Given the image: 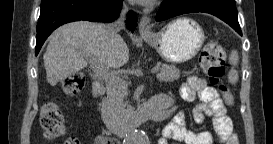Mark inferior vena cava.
I'll list each match as a JSON object with an SVG mask.
<instances>
[{
    "mask_svg": "<svg viewBox=\"0 0 273 144\" xmlns=\"http://www.w3.org/2000/svg\"><path fill=\"white\" fill-rule=\"evenodd\" d=\"M128 11L127 6L124 4L123 9L121 11L120 17L118 18L117 21L114 23H111L109 25V32L112 36H117L118 32L121 30V28L124 26V20H125V15Z\"/></svg>",
    "mask_w": 273,
    "mask_h": 144,
    "instance_id": "602c4592",
    "label": "inferior vena cava"
}]
</instances>
